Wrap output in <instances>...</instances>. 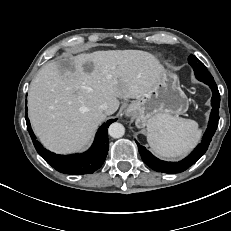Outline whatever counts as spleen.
<instances>
[{"label":"spleen","instance_id":"spleen-1","mask_svg":"<svg viewBox=\"0 0 231 231\" xmlns=\"http://www.w3.org/2000/svg\"><path fill=\"white\" fill-rule=\"evenodd\" d=\"M201 130L194 120L165 115L147 125V141L155 154L170 158L189 152L198 142Z\"/></svg>","mask_w":231,"mask_h":231}]
</instances>
